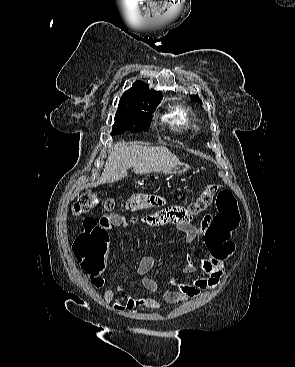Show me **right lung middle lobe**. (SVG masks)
I'll use <instances>...</instances> for the list:
<instances>
[{
    "label": "right lung middle lobe",
    "instance_id": "right-lung-middle-lobe-1",
    "mask_svg": "<svg viewBox=\"0 0 295 367\" xmlns=\"http://www.w3.org/2000/svg\"><path fill=\"white\" fill-rule=\"evenodd\" d=\"M158 104L138 103L127 109L118 110L113 124L112 136L125 131L140 132L150 128L151 115Z\"/></svg>",
    "mask_w": 295,
    "mask_h": 367
}]
</instances>
